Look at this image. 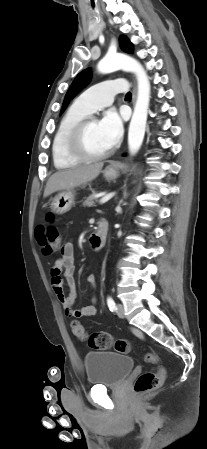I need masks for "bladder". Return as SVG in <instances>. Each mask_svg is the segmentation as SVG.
<instances>
[{"label":"bladder","instance_id":"bladder-1","mask_svg":"<svg viewBox=\"0 0 207 449\" xmlns=\"http://www.w3.org/2000/svg\"><path fill=\"white\" fill-rule=\"evenodd\" d=\"M84 365L89 385L118 386L133 371V358L117 352H88L84 356Z\"/></svg>","mask_w":207,"mask_h":449}]
</instances>
